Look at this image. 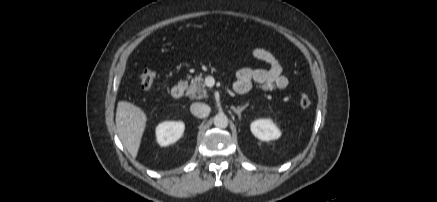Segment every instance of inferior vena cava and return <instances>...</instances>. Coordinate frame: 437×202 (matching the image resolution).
I'll return each mask as SVG.
<instances>
[{"mask_svg": "<svg viewBox=\"0 0 437 202\" xmlns=\"http://www.w3.org/2000/svg\"><path fill=\"white\" fill-rule=\"evenodd\" d=\"M190 111L198 118H205L210 113V107L204 103L196 102L191 104Z\"/></svg>", "mask_w": 437, "mask_h": 202, "instance_id": "obj_1", "label": "inferior vena cava"}]
</instances>
